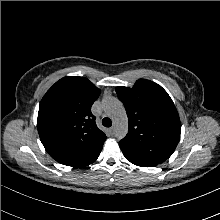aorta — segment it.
<instances>
[{
	"label": "aorta",
	"mask_w": 220,
	"mask_h": 220,
	"mask_svg": "<svg viewBox=\"0 0 220 220\" xmlns=\"http://www.w3.org/2000/svg\"><path fill=\"white\" fill-rule=\"evenodd\" d=\"M103 108L113 121L114 134L118 139H122L128 132V118L123 104L116 98H106L103 100Z\"/></svg>",
	"instance_id": "obj_1"
}]
</instances>
